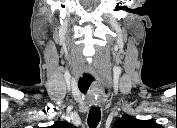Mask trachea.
<instances>
[{"mask_svg": "<svg viewBox=\"0 0 177 128\" xmlns=\"http://www.w3.org/2000/svg\"><path fill=\"white\" fill-rule=\"evenodd\" d=\"M101 119V111L98 107H92L89 111L87 123L89 128H96Z\"/></svg>", "mask_w": 177, "mask_h": 128, "instance_id": "trachea-1", "label": "trachea"}]
</instances>
